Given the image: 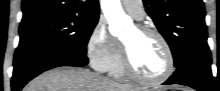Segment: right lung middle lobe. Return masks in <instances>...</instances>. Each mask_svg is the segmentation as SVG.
Here are the masks:
<instances>
[{
	"label": "right lung middle lobe",
	"mask_w": 220,
	"mask_h": 91,
	"mask_svg": "<svg viewBox=\"0 0 220 91\" xmlns=\"http://www.w3.org/2000/svg\"><path fill=\"white\" fill-rule=\"evenodd\" d=\"M99 17L61 14L21 23L20 44L48 43L86 55V47Z\"/></svg>",
	"instance_id": "1"
}]
</instances>
